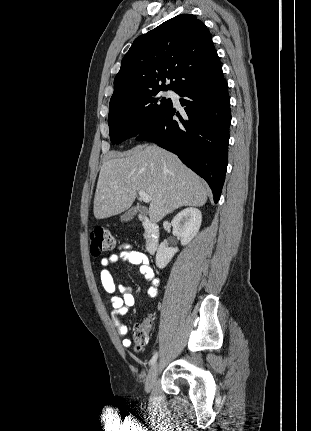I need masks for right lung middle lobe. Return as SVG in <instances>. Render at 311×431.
<instances>
[{
	"mask_svg": "<svg viewBox=\"0 0 311 431\" xmlns=\"http://www.w3.org/2000/svg\"><path fill=\"white\" fill-rule=\"evenodd\" d=\"M161 90L145 91L110 100L108 124L113 144L136 136L171 105V99L160 95Z\"/></svg>",
	"mask_w": 311,
	"mask_h": 431,
	"instance_id": "obj_1",
	"label": "right lung middle lobe"
}]
</instances>
